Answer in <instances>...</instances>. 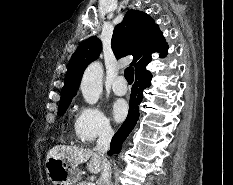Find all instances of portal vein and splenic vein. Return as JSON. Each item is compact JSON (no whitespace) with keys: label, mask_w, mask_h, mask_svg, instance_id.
<instances>
[{"label":"portal vein and splenic vein","mask_w":233,"mask_h":185,"mask_svg":"<svg viewBox=\"0 0 233 185\" xmlns=\"http://www.w3.org/2000/svg\"><path fill=\"white\" fill-rule=\"evenodd\" d=\"M87 185H95V183L89 182Z\"/></svg>","instance_id":"1"}]
</instances>
